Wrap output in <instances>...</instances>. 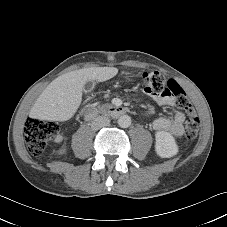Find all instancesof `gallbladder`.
<instances>
[{"label":"gallbladder","mask_w":227,"mask_h":227,"mask_svg":"<svg viewBox=\"0 0 227 227\" xmlns=\"http://www.w3.org/2000/svg\"><path fill=\"white\" fill-rule=\"evenodd\" d=\"M95 88V82L92 81H87L83 87V90L85 92H91Z\"/></svg>","instance_id":"gallbladder-1"}]
</instances>
